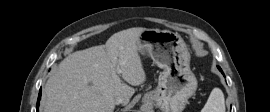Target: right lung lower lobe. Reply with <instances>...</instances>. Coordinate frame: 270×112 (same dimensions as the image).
Segmentation results:
<instances>
[{
  "mask_svg": "<svg viewBox=\"0 0 270 112\" xmlns=\"http://www.w3.org/2000/svg\"><path fill=\"white\" fill-rule=\"evenodd\" d=\"M40 99H41V89H40V92H39V97H38L37 106H36L37 112H39L38 111V108H39V101H40Z\"/></svg>",
  "mask_w": 270,
  "mask_h": 112,
  "instance_id": "obj_1",
  "label": "right lung lower lobe"
}]
</instances>
